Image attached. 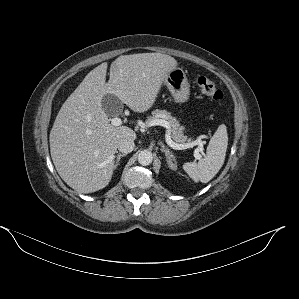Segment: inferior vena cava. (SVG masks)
<instances>
[{
    "mask_svg": "<svg viewBox=\"0 0 299 299\" xmlns=\"http://www.w3.org/2000/svg\"><path fill=\"white\" fill-rule=\"evenodd\" d=\"M135 147L134 140L128 137L121 138L117 144V148L122 153H130Z\"/></svg>",
    "mask_w": 299,
    "mask_h": 299,
    "instance_id": "inferior-vena-cava-1",
    "label": "inferior vena cava"
}]
</instances>
